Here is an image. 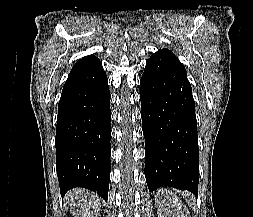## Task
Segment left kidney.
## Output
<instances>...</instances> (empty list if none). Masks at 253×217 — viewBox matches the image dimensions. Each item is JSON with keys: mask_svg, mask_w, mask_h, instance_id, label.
Here are the masks:
<instances>
[{"mask_svg": "<svg viewBox=\"0 0 253 217\" xmlns=\"http://www.w3.org/2000/svg\"><path fill=\"white\" fill-rule=\"evenodd\" d=\"M155 199L161 217H190L186 206L171 191L161 189Z\"/></svg>", "mask_w": 253, "mask_h": 217, "instance_id": "obj_1", "label": "left kidney"}]
</instances>
